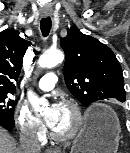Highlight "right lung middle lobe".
<instances>
[{"instance_id": "1", "label": "right lung middle lobe", "mask_w": 130, "mask_h": 153, "mask_svg": "<svg viewBox=\"0 0 130 153\" xmlns=\"http://www.w3.org/2000/svg\"><path fill=\"white\" fill-rule=\"evenodd\" d=\"M8 96L9 94L0 93V117L14 123V101Z\"/></svg>"}]
</instances>
